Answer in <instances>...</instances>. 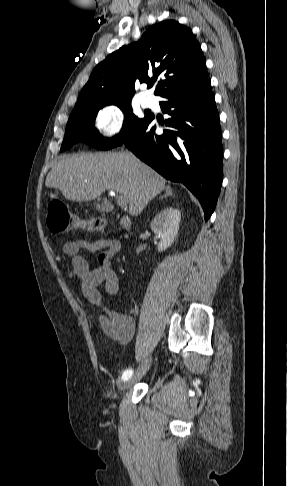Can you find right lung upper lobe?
<instances>
[{
    "mask_svg": "<svg viewBox=\"0 0 287 486\" xmlns=\"http://www.w3.org/2000/svg\"><path fill=\"white\" fill-rule=\"evenodd\" d=\"M153 74V77L149 75ZM158 82L155 95L194 86L208 78L206 60L190 28L175 20L154 24L142 37L109 54L91 73L72 112L131 99L135 82Z\"/></svg>",
    "mask_w": 287,
    "mask_h": 486,
    "instance_id": "obj_1",
    "label": "right lung upper lobe"
}]
</instances>
